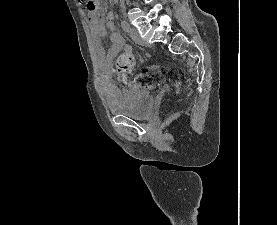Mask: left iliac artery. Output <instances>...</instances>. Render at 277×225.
Here are the masks:
<instances>
[{
    "mask_svg": "<svg viewBox=\"0 0 277 225\" xmlns=\"http://www.w3.org/2000/svg\"><path fill=\"white\" fill-rule=\"evenodd\" d=\"M121 26H122V28H123V30L125 31V32H129L130 31V25L128 24V22H126L125 20H123L122 22H121Z\"/></svg>",
    "mask_w": 277,
    "mask_h": 225,
    "instance_id": "44dca946",
    "label": "left iliac artery"
}]
</instances>
